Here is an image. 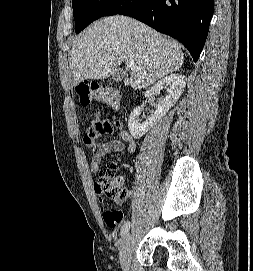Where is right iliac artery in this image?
<instances>
[{"instance_id":"right-iliac-artery-1","label":"right iliac artery","mask_w":253,"mask_h":271,"mask_svg":"<svg viewBox=\"0 0 253 271\" xmlns=\"http://www.w3.org/2000/svg\"><path fill=\"white\" fill-rule=\"evenodd\" d=\"M129 228H130V222L127 221L121 227V233L120 234H121L122 237L128 232Z\"/></svg>"}]
</instances>
